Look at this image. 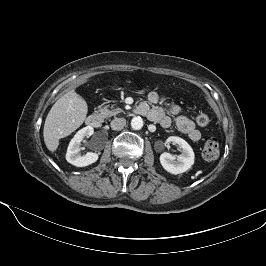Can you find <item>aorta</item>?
Wrapping results in <instances>:
<instances>
[{"instance_id":"762f6f07","label":"aorta","mask_w":266,"mask_h":266,"mask_svg":"<svg viewBox=\"0 0 266 266\" xmlns=\"http://www.w3.org/2000/svg\"><path fill=\"white\" fill-rule=\"evenodd\" d=\"M131 127L134 130H140L143 127V120L141 117H133L131 120Z\"/></svg>"}]
</instances>
